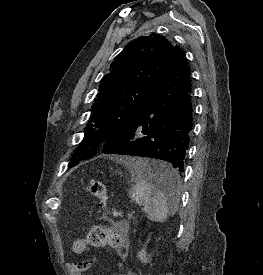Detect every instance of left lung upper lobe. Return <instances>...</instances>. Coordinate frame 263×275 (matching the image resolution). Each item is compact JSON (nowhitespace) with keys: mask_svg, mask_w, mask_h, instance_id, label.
<instances>
[{"mask_svg":"<svg viewBox=\"0 0 263 275\" xmlns=\"http://www.w3.org/2000/svg\"><path fill=\"white\" fill-rule=\"evenodd\" d=\"M178 46L164 36H141L120 52L100 82L89 125L69 167L92 158L123 132L164 79Z\"/></svg>","mask_w":263,"mask_h":275,"instance_id":"obj_1","label":"left lung upper lobe"}]
</instances>
